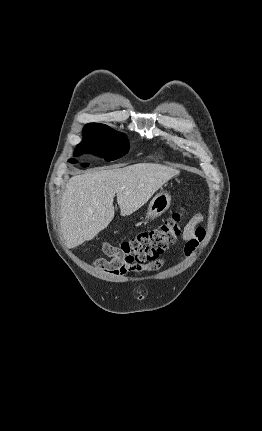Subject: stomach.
I'll return each instance as SVG.
<instances>
[{"mask_svg":"<svg viewBox=\"0 0 262 431\" xmlns=\"http://www.w3.org/2000/svg\"><path fill=\"white\" fill-rule=\"evenodd\" d=\"M171 196L166 192L156 194L150 201L146 218L154 219L162 215L170 206Z\"/></svg>","mask_w":262,"mask_h":431,"instance_id":"obj_1","label":"stomach"}]
</instances>
